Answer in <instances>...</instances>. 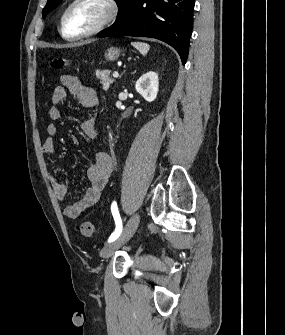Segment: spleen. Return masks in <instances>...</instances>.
<instances>
[{"instance_id": "obj_1", "label": "spleen", "mask_w": 285, "mask_h": 335, "mask_svg": "<svg viewBox=\"0 0 285 335\" xmlns=\"http://www.w3.org/2000/svg\"><path fill=\"white\" fill-rule=\"evenodd\" d=\"M131 46L136 48V50H138L142 56H146L150 50V46H148V44H143V42H132Z\"/></svg>"}]
</instances>
